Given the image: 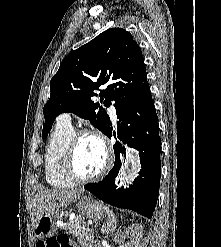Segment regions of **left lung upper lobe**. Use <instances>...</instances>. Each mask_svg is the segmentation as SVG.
Here are the masks:
<instances>
[{"label":"left lung upper lobe","instance_id":"5c2ea615","mask_svg":"<svg viewBox=\"0 0 221 247\" xmlns=\"http://www.w3.org/2000/svg\"><path fill=\"white\" fill-rule=\"evenodd\" d=\"M103 86L98 94L96 91ZM50 99L43 108L45 139L55 118L71 112L87 118L106 134L111 122L103 106L123 104L151 95L141 49L133 36L111 28L65 57L50 81ZM101 96V102L91 98Z\"/></svg>","mask_w":221,"mask_h":247}]
</instances>
